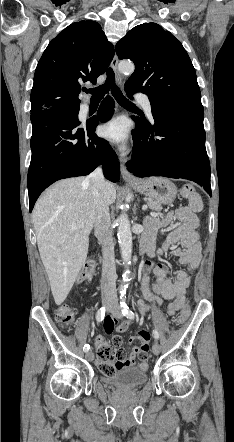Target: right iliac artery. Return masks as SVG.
<instances>
[{
  "label": "right iliac artery",
  "instance_id": "obj_1",
  "mask_svg": "<svg viewBox=\"0 0 234 442\" xmlns=\"http://www.w3.org/2000/svg\"><path fill=\"white\" fill-rule=\"evenodd\" d=\"M104 316H105V308L102 307V308H100V309L98 310V312H97V314H96V320H97V322L102 321V320L104 319ZM89 349H90V346H89L88 344H86V345L83 347V350H84L85 352H87Z\"/></svg>",
  "mask_w": 234,
  "mask_h": 442
}]
</instances>
